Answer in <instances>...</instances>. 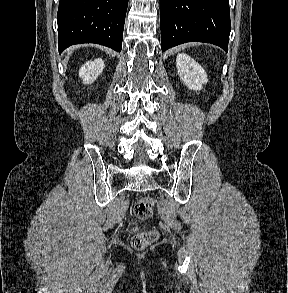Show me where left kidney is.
<instances>
[{"label": "left kidney", "mask_w": 288, "mask_h": 293, "mask_svg": "<svg viewBox=\"0 0 288 293\" xmlns=\"http://www.w3.org/2000/svg\"><path fill=\"white\" fill-rule=\"evenodd\" d=\"M176 67L180 79L191 90L200 91L208 82L204 69L186 54H178Z\"/></svg>", "instance_id": "5707ae66"}]
</instances>
